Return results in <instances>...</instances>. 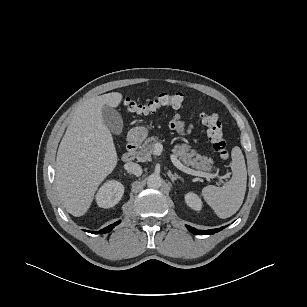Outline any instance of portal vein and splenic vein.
<instances>
[{"label":"portal vein and splenic vein","instance_id":"18ae733b","mask_svg":"<svg viewBox=\"0 0 307 307\" xmlns=\"http://www.w3.org/2000/svg\"><path fill=\"white\" fill-rule=\"evenodd\" d=\"M163 150V146L161 143H156L154 145V150H153V153L155 155H160L161 152ZM170 159L172 161V163L178 168L180 169L181 171L187 173V174H191V175H194V176H200V177H204L206 179H210V178H219L220 180L224 179L225 177L224 176H219L218 174H212V173H207V172H202V171H197V170H193L191 168H188L186 166H184L178 159L177 157L174 155V154H171L170 155Z\"/></svg>","mask_w":307,"mask_h":307}]
</instances>
